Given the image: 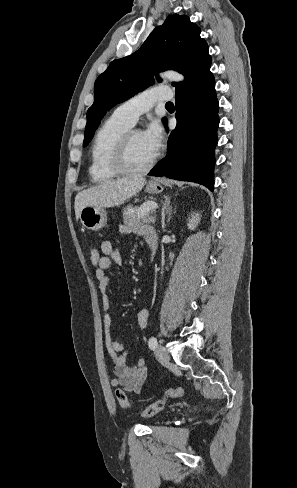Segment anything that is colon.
<instances>
[{"label":"colon","instance_id":"obj_1","mask_svg":"<svg viewBox=\"0 0 297 488\" xmlns=\"http://www.w3.org/2000/svg\"><path fill=\"white\" fill-rule=\"evenodd\" d=\"M100 259H101V254H100L99 250L96 248H92L90 250L91 263L94 266H98ZM182 395H183V389L182 388H179V387L169 388L165 391L164 396L161 399L155 401L154 403H152L151 405L146 407L142 411V415L144 417H151V416L157 414L158 412H160L161 410L164 409L165 404L169 398H179ZM115 396H116L117 402H118L121 409L126 410L130 407V401H129V398H128L127 394L125 393V391H123L122 389H117L115 392Z\"/></svg>","mask_w":297,"mask_h":488}]
</instances>
